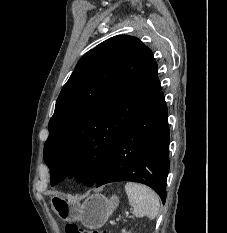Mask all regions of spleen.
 Listing matches in <instances>:
<instances>
[{"instance_id": "1", "label": "spleen", "mask_w": 227, "mask_h": 233, "mask_svg": "<svg viewBox=\"0 0 227 233\" xmlns=\"http://www.w3.org/2000/svg\"><path fill=\"white\" fill-rule=\"evenodd\" d=\"M125 191L135 217L147 216L150 220L156 218L160 203L153 190L141 184L128 182L125 185Z\"/></svg>"}]
</instances>
